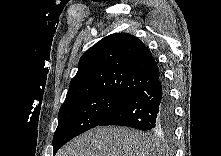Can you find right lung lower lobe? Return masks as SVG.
<instances>
[{"label":"right lung lower lobe","mask_w":221,"mask_h":156,"mask_svg":"<svg viewBox=\"0 0 221 156\" xmlns=\"http://www.w3.org/2000/svg\"><path fill=\"white\" fill-rule=\"evenodd\" d=\"M99 125L128 126L143 131H172L173 104L164 80L159 77L139 90Z\"/></svg>","instance_id":"right-lung-lower-lobe-1"}]
</instances>
